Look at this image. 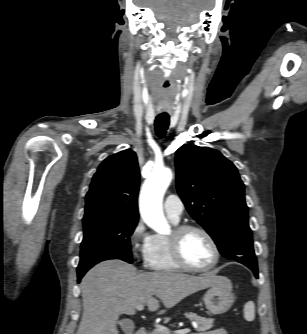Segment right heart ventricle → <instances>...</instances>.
<instances>
[{
	"label": "right heart ventricle",
	"mask_w": 307,
	"mask_h": 334,
	"mask_svg": "<svg viewBox=\"0 0 307 334\" xmlns=\"http://www.w3.org/2000/svg\"><path fill=\"white\" fill-rule=\"evenodd\" d=\"M145 261L146 266L151 270L165 272H177L181 270L172 258L168 240L165 236H154Z\"/></svg>",
	"instance_id": "e07e8e85"
}]
</instances>
